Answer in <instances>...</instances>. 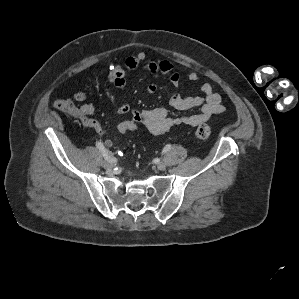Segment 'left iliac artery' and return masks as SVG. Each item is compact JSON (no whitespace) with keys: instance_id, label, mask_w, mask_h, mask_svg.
<instances>
[{"instance_id":"left-iliac-artery-1","label":"left iliac artery","mask_w":299,"mask_h":299,"mask_svg":"<svg viewBox=\"0 0 299 299\" xmlns=\"http://www.w3.org/2000/svg\"><path fill=\"white\" fill-rule=\"evenodd\" d=\"M171 149V145L170 144H167L164 148H163V153H166L168 152L169 150Z\"/></svg>"}]
</instances>
